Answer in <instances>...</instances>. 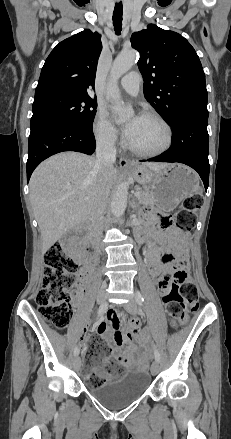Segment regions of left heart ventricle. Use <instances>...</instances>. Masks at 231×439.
I'll return each instance as SVG.
<instances>
[{"label":"left heart ventricle","mask_w":231,"mask_h":439,"mask_svg":"<svg viewBox=\"0 0 231 439\" xmlns=\"http://www.w3.org/2000/svg\"><path fill=\"white\" fill-rule=\"evenodd\" d=\"M165 140V129L158 121L140 116L134 134L128 143L136 149L149 151L161 147Z\"/></svg>","instance_id":"obj_1"}]
</instances>
